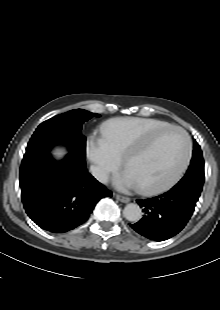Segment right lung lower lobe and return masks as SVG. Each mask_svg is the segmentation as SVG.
<instances>
[{
	"instance_id": "obj_1",
	"label": "right lung lower lobe",
	"mask_w": 220,
	"mask_h": 310,
	"mask_svg": "<svg viewBox=\"0 0 220 310\" xmlns=\"http://www.w3.org/2000/svg\"><path fill=\"white\" fill-rule=\"evenodd\" d=\"M62 161L49 151L25 156L20 167L22 202L41 228L66 232L86 222L97 202L112 192L85 167V155L70 149Z\"/></svg>"
}]
</instances>
